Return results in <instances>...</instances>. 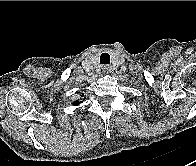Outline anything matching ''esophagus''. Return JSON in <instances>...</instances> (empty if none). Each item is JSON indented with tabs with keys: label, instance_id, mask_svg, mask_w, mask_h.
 I'll use <instances>...</instances> for the list:
<instances>
[{
	"label": "esophagus",
	"instance_id": "obj_1",
	"mask_svg": "<svg viewBox=\"0 0 196 166\" xmlns=\"http://www.w3.org/2000/svg\"><path fill=\"white\" fill-rule=\"evenodd\" d=\"M102 70H103V72H106V73H108V72H110L111 71V68L109 67V66H103L102 67Z\"/></svg>",
	"mask_w": 196,
	"mask_h": 166
}]
</instances>
